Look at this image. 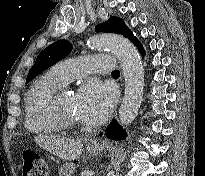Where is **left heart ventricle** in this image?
<instances>
[{
  "mask_svg": "<svg viewBox=\"0 0 205 176\" xmlns=\"http://www.w3.org/2000/svg\"><path fill=\"white\" fill-rule=\"evenodd\" d=\"M61 107L67 116L77 120L78 122L83 121L77 112L75 95L70 93H65L61 99Z\"/></svg>",
  "mask_w": 205,
  "mask_h": 176,
  "instance_id": "b2bd125f",
  "label": "left heart ventricle"
}]
</instances>
